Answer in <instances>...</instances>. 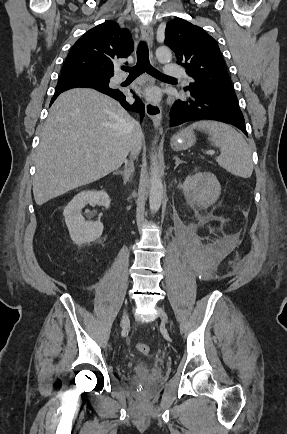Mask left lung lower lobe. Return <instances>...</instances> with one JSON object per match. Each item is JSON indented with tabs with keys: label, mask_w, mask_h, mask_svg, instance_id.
Masks as SVG:
<instances>
[{
	"label": "left lung lower lobe",
	"mask_w": 287,
	"mask_h": 434,
	"mask_svg": "<svg viewBox=\"0 0 287 434\" xmlns=\"http://www.w3.org/2000/svg\"><path fill=\"white\" fill-rule=\"evenodd\" d=\"M211 119L232 124L246 135L244 117L237 97L204 89H191L187 100H177L170 110V126L184 122Z\"/></svg>",
	"instance_id": "obj_1"
}]
</instances>
